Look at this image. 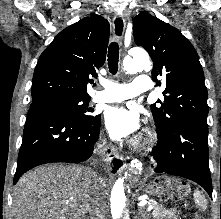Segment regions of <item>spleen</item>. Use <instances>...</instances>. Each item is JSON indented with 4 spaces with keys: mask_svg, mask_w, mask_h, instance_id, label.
Masks as SVG:
<instances>
[{
    "mask_svg": "<svg viewBox=\"0 0 221 219\" xmlns=\"http://www.w3.org/2000/svg\"><path fill=\"white\" fill-rule=\"evenodd\" d=\"M194 201H195V204H197L202 210H205L207 208L205 197L198 190L194 192Z\"/></svg>",
    "mask_w": 221,
    "mask_h": 219,
    "instance_id": "obj_1",
    "label": "spleen"
}]
</instances>
